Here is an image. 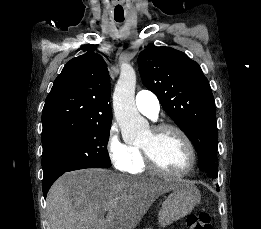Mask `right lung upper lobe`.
I'll return each mask as SVG.
<instances>
[{
  "mask_svg": "<svg viewBox=\"0 0 261 229\" xmlns=\"http://www.w3.org/2000/svg\"><path fill=\"white\" fill-rule=\"evenodd\" d=\"M110 77L94 52L71 59L54 81L42 112L43 149L67 141L89 127L111 123Z\"/></svg>",
  "mask_w": 261,
  "mask_h": 229,
  "instance_id": "obj_1",
  "label": "right lung upper lobe"
}]
</instances>
